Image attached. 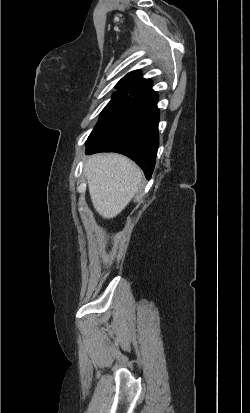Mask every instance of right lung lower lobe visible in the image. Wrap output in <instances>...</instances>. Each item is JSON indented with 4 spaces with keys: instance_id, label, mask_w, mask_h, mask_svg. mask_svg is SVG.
Returning <instances> with one entry per match:
<instances>
[{
    "instance_id": "98d812e1",
    "label": "right lung lower lobe",
    "mask_w": 250,
    "mask_h": 413,
    "mask_svg": "<svg viewBox=\"0 0 250 413\" xmlns=\"http://www.w3.org/2000/svg\"><path fill=\"white\" fill-rule=\"evenodd\" d=\"M158 96H140L105 134L88 144L87 154L118 152L135 161L147 179L151 178L159 145Z\"/></svg>"
}]
</instances>
